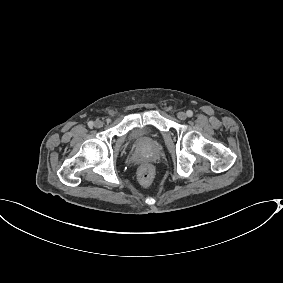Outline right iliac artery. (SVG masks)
I'll list each match as a JSON object with an SVG mask.
<instances>
[{"instance_id": "82829eb1", "label": "right iliac artery", "mask_w": 283, "mask_h": 283, "mask_svg": "<svg viewBox=\"0 0 283 283\" xmlns=\"http://www.w3.org/2000/svg\"><path fill=\"white\" fill-rule=\"evenodd\" d=\"M93 125H94L93 121H89V122H88V126H89V127H93Z\"/></svg>"}]
</instances>
